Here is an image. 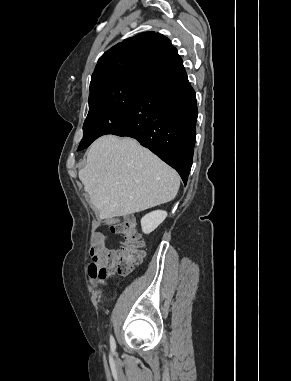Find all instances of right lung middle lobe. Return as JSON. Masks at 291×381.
I'll list each match as a JSON object with an SVG mask.
<instances>
[{
	"label": "right lung middle lobe",
	"instance_id": "1",
	"mask_svg": "<svg viewBox=\"0 0 291 381\" xmlns=\"http://www.w3.org/2000/svg\"><path fill=\"white\" fill-rule=\"evenodd\" d=\"M142 80L129 79L89 96V112L78 151L87 148L98 137L113 134L124 126Z\"/></svg>",
	"mask_w": 291,
	"mask_h": 381
}]
</instances>
